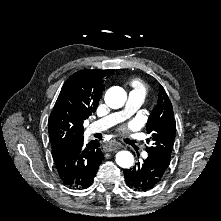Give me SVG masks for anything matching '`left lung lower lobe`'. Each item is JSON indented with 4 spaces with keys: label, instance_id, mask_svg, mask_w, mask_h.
I'll use <instances>...</instances> for the list:
<instances>
[{
    "label": "left lung lower lobe",
    "instance_id": "left-lung-lower-lobe-1",
    "mask_svg": "<svg viewBox=\"0 0 221 221\" xmlns=\"http://www.w3.org/2000/svg\"><path fill=\"white\" fill-rule=\"evenodd\" d=\"M169 164L170 161L148 153L142 164L124 170L125 181L134 191L151 190L162 181Z\"/></svg>",
    "mask_w": 221,
    "mask_h": 221
}]
</instances>
